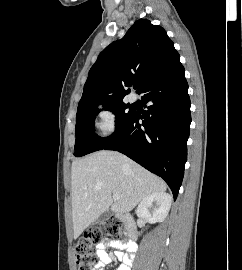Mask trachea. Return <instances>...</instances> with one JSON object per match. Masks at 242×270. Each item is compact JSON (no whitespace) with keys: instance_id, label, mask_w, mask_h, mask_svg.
I'll return each instance as SVG.
<instances>
[{"instance_id":"1","label":"trachea","mask_w":242,"mask_h":270,"mask_svg":"<svg viewBox=\"0 0 242 270\" xmlns=\"http://www.w3.org/2000/svg\"><path fill=\"white\" fill-rule=\"evenodd\" d=\"M135 89L137 88V84L133 86Z\"/></svg>"}]
</instances>
